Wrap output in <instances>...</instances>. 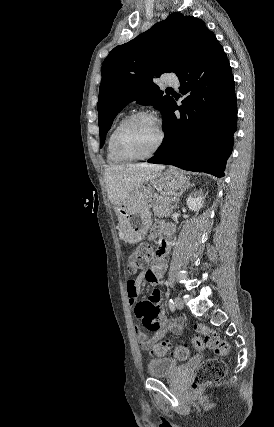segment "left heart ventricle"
Segmentation results:
<instances>
[{"mask_svg":"<svg viewBox=\"0 0 274 427\" xmlns=\"http://www.w3.org/2000/svg\"><path fill=\"white\" fill-rule=\"evenodd\" d=\"M159 128L148 118H139L125 127L119 136L123 152L131 156H144L150 153L159 141Z\"/></svg>","mask_w":274,"mask_h":427,"instance_id":"left-heart-ventricle-1","label":"left heart ventricle"}]
</instances>
